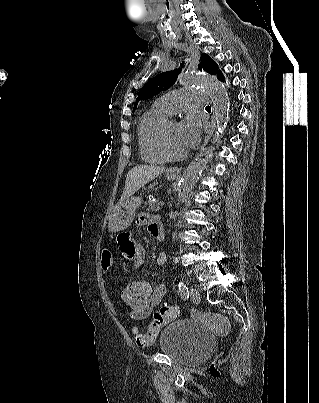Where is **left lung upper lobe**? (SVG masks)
<instances>
[{
  "label": "left lung upper lobe",
  "mask_w": 319,
  "mask_h": 403,
  "mask_svg": "<svg viewBox=\"0 0 319 403\" xmlns=\"http://www.w3.org/2000/svg\"><path fill=\"white\" fill-rule=\"evenodd\" d=\"M198 67L200 70L217 75V77L221 73V71L218 70V65L207 54H202ZM180 71V69H175L173 71L163 72L149 80L139 91L133 110L136 109L138 101L150 99L159 92L169 89L175 83Z\"/></svg>",
  "instance_id": "5c2ea615"
}]
</instances>
